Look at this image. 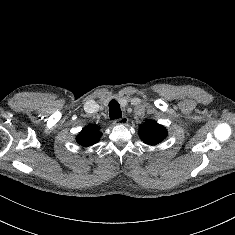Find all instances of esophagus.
<instances>
[{"label":"esophagus","instance_id":"34e87169","mask_svg":"<svg viewBox=\"0 0 235 235\" xmlns=\"http://www.w3.org/2000/svg\"><path fill=\"white\" fill-rule=\"evenodd\" d=\"M115 125L121 124V125H125L128 123V118L126 116H123L119 119H115L113 122Z\"/></svg>","mask_w":235,"mask_h":235}]
</instances>
